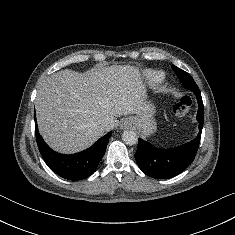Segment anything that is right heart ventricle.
<instances>
[{"label":"right heart ventricle","mask_w":235,"mask_h":235,"mask_svg":"<svg viewBox=\"0 0 235 235\" xmlns=\"http://www.w3.org/2000/svg\"><path fill=\"white\" fill-rule=\"evenodd\" d=\"M145 76L151 84L160 83L164 79V74L161 71L156 70L146 71Z\"/></svg>","instance_id":"e07e8e85"}]
</instances>
